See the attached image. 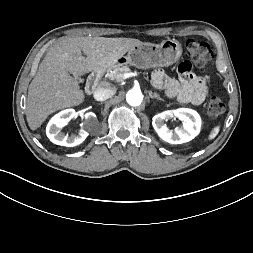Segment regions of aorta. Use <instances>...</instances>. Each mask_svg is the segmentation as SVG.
Masks as SVG:
<instances>
[{"instance_id": "obj_1", "label": "aorta", "mask_w": 253, "mask_h": 253, "mask_svg": "<svg viewBox=\"0 0 253 253\" xmlns=\"http://www.w3.org/2000/svg\"><path fill=\"white\" fill-rule=\"evenodd\" d=\"M126 100L131 106H139L142 103L143 95L139 89H131L126 94Z\"/></svg>"}]
</instances>
